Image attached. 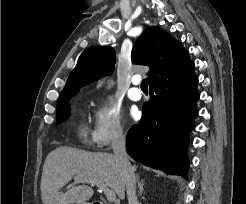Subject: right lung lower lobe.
I'll list each match as a JSON object with an SVG mask.
<instances>
[{
	"instance_id": "right-lung-lower-lobe-1",
	"label": "right lung lower lobe",
	"mask_w": 246,
	"mask_h": 204,
	"mask_svg": "<svg viewBox=\"0 0 246 204\" xmlns=\"http://www.w3.org/2000/svg\"><path fill=\"white\" fill-rule=\"evenodd\" d=\"M197 83L193 63L149 83L142 119L127 135L126 149L133 159L186 177L188 134L198 114Z\"/></svg>"
}]
</instances>
